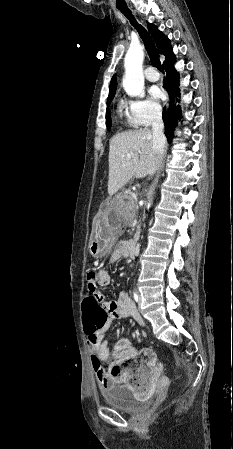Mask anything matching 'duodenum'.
<instances>
[{
	"label": "duodenum",
	"mask_w": 233,
	"mask_h": 449,
	"mask_svg": "<svg viewBox=\"0 0 233 449\" xmlns=\"http://www.w3.org/2000/svg\"><path fill=\"white\" fill-rule=\"evenodd\" d=\"M123 248L125 252L131 256H136L138 254V244L135 240H128Z\"/></svg>",
	"instance_id": "obj_1"
}]
</instances>
